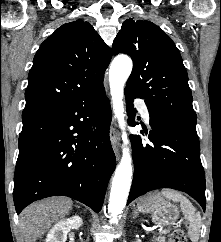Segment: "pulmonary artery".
Instances as JSON below:
<instances>
[{
	"label": "pulmonary artery",
	"instance_id": "1",
	"mask_svg": "<svg viewBox=\"0 0 221 242\" xmlns=\"http://www.w3.org/2000/svg\"><path fill=\"white\" fill-rule=\"evenodd\" d=\"M136 105H137L142 117L145 119V121L148 122L150 119V115H149V111H148V108L145 105V103L142 102L141 100H137Z\"/></svg>",
	"mask_w": 221,
	"mask_h": 242
}]
</instances>
